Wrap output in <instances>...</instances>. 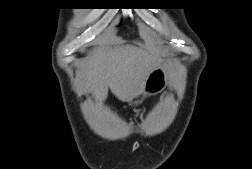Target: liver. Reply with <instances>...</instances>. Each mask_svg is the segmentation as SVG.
<instances>
[{"label": "liver", "mask_w": 252, "mask_h": 169, "mask_svg": "<svg viewBox=\"0 0 252 169\" xmlns=\"http://www.w3.org/2000/svg\"><path fill=\"white\" fill-rule=\"evenodd\" d=\"M160 64V52L139 42L134 45L116 40L88 56L79 73L80 87L101 105L108 90L128 102L144 86L150 73Z\"/></svg>", "instance_id": "1"}]
</instances>
